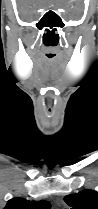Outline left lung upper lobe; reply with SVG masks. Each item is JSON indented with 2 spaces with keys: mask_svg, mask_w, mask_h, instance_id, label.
<instances>
[{
  "mask_svg": "<svg viewBox=\"0 0 98 209\" xmlns=\"http://www.w3.org/2000/svg\"><path fill=\"white\" fill-rule=\"evenodd\" d=\"M64 200L70 209H98V193L93 190L67 195Z\"/></svg>",
  "mask_w": 98,
  "mask_h": 209,
  "instance_id": "left-lung-upper-lobe-1",
  "label": "left lung upper lobe"
}]
</instances>
